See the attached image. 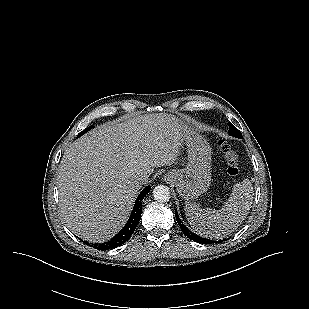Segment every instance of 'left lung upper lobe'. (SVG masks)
I'll return each instance as SVG.
<instances>
[{
  "mask_svg": "<svg viewBox=\"0 0 309 309\" xmlns=\"http://www.w3.org/2000/svg\"><path fill=\"white\" fill-rule=\"evenodd\" d=\"M228 133L231 136H234V137H237V138H242L241 132L234 125H232L230 122H229V131H228Z\"/></svg>",
  "mask_w": 309,
  "mask_h": 309,
  "instance_id": "1",
  "label": "left lung upper lobe"
}]
</instances>
